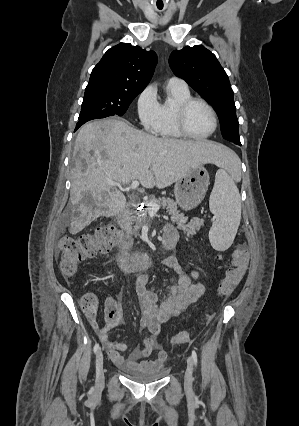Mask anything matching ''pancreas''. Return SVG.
Instances as JSON below:
<instances>
[{
    "mask_svg": "<svg viewBox=\"0 0 299 426\" xmlns=\"http://www.w3.org/2000/svg\"><path fill=\"white\" fill-rule=\"evenodd\" d=\"M148 203H156L166 208V212L171 216V220L177 224L178 229L182 230L188 237L196 235L203 226V219L194 218L186 224L187 218L183 213L178 210L177 204L170 198H151L145 202L146 206ZM148 207L139 211L129 219V226L127 231L135 236L139 235L141 227L145 224L148 219Z\"/></svg>",
    "mask_w": 299,
    "mask_h": 426,
    "instance_id": "1",
    "label": "pancreas"
}]
</instances>
